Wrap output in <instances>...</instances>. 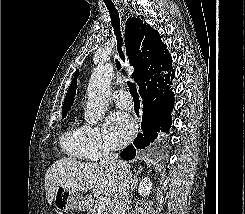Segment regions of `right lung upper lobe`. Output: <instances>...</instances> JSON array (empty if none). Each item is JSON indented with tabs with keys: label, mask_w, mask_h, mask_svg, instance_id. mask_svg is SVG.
I'll return each mask as SVG.
<instances>
[{
	"label": "right lung upper lobe",
	"mask_w": 245,
	"mask_h": 214,
	"mask_svg": "<svg viewBox=\"0 0 245 214\" xmlns=\"http://www.w3.org/2000/svg\"><path fill=\"white\" fill-rule=\"evenodd\" d=\"M125 46L129 63L135 68L132 77L139 86L154 68L164 64L171 57L166 45L161 41L159 33L149 25L143 24V21L137 18L127 19ZM116 62L117 67L120 68V63ZM77 75L78 72L75 74L67 91L62 113H67L74 102Z\"/></svg>",
	"instance_id": "1"
}]
</instances>
